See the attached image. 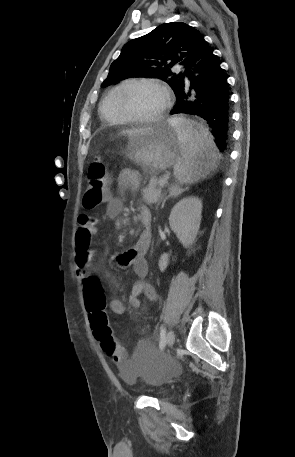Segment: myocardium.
<instances>
[{
    "instance_id": "f54148a6",
    "label": "myocardium",
    "mask_w": 295,
    "mask_h": 457,
    "mask_svg": "<svg viewBox=\"0 0 295 457\" xmlns=\"http://www.w3.org/2000/svg\"><path fill=\"white\" fill-rule=\"evenodd\" d=\"M148 85V86H156L160 88L165 95V104L162 110L151 117H139L134 115L124 104L123 98L126 93L134 87ZM172 103V96L169 88L162 82L153 79H136L131 80L124 83L117 91L115 95V107L117 111L125 117L129 122L133 123H153L161 120L166 113L169 111Z\"/></svg>"
}]
</instances>
